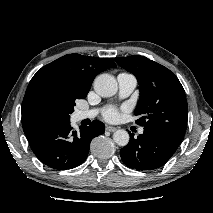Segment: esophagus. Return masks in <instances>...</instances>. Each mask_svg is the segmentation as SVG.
Wrapping results in <instances>:
<instances>
[{
	"label": "esophagus",
	"instance_id": "obj_1",
	"mask_svg": "<svg viewBox=\"0 0 213 213\" xmlns=\"http://www.w3.org/2000/svg\"><path fill=\"white\" fill-rule=\"evenodd\" d=\"M106 130L109 131V132H114V131L117 130V128L116 127H112V126H107Z\"/></svg>",
	"mask_w": 213,
	"mask_h": 213
}]
</instances>
